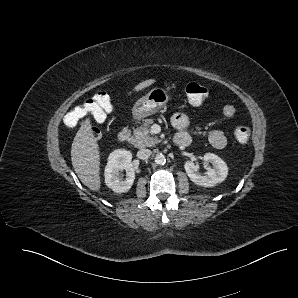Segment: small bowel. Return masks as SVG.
Segmentation results:
<instances>
[{
  "label": "small bowel",
  "instance_id": "c3829d8e",
  "mask_svg": "<svg viewBox=\"0 0 298 298\" xmlns=\"http://www.w3.org/2000/svg\"><path fill=\"white\" fill-rule=\"evenodd\" d=\"M221 113L224 118L230 119L235 115V108L232 105H225ZM171 124L175 129L184 131L189 126V119L184 113L178 112L171 117ZM208 139L210 144L216 149H222L227 145V138L220 130L210 131Z\"/></svg>",
  "mask_w": 298,
  "mask_h": 298
}]
</instances>
